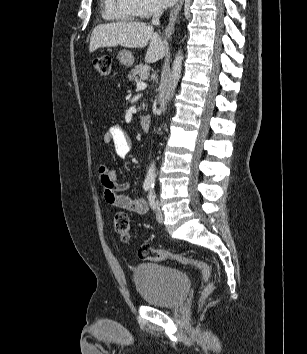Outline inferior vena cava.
Instances as JSON below:
<instances>
[{"instance_id": "inferior-vena-cava-1", "label": "inferior vena cava", "mask_w": 307, "mask_h": 354, "mask_svg": "<svg viewBox=\"0 0 307 354\" xmlns=\"http://www.w3.org/2000/svg\"><path fill=\"white\" fill-rule=\"evenodd\" d=\"M163 14V9L159 6H155L153 8V18H152V24L153 25H159L160 21V17Z\"/></svg>"}]
</instances>
